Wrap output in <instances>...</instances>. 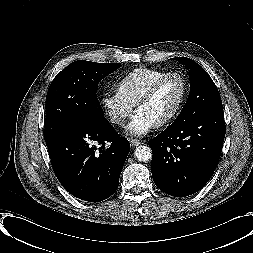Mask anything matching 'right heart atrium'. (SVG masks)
I'll list each match as a JSON object with an SVG mask.
<instances>
[{
  "instance_id": "d8ad5b80",
  "label": "right heart atrium",
  "mask_w": 253,
  "mask_h": 253,
  "mask_svg": "<svg viewBox=\"0 0 253 253\" xmlns=\"http://www.w3.org/2000/svg\"><path fill=\"white\" fill-rule=\"evenodd\" d=\"M101 106L109 122L119 127L124 126L134 110L117 92L105 94L101 98Z\"/></svg>"
}]
</instances>
